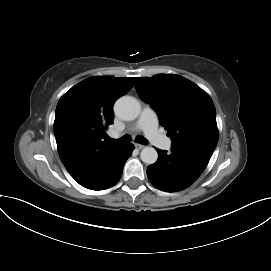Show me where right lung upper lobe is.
I'll return each instance as SVG.
<instances>
[{"mask_svg":"<svg viewBox=\"0 0 271 271\" xmlns=\"http://www.w3.org/2000/svg\"><path fill=\"white\" fill-rule=\"evenodd\" d=\"M134 78H87L64 94L56 108L54 134L59 156L70 175L82 181L121 145L105 138L114 102L133 86Z\"/></svg>","mask_w":271,"mask_h":271,"instance_id":"obj_1","label":"right lung upper lobe"}]
</instances>
